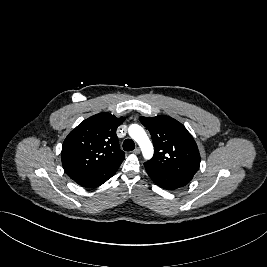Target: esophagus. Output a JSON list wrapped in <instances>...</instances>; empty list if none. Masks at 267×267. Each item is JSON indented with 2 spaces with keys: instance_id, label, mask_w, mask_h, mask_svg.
Returning a JSON list of instances; mask_svg holds the SVG:
<instances>
[{
  "instance_id": "34e87169",
  "label": "esophagus",
  "mask_w": 267,
  "mask_h": 267,
  "mask_svg": "<svg viewBox=\"0 0 267 267\" xmlns=\"http://www.w3.org/2000/svg\"><path fill=\"white\" fill-rule=\"evenodd\" d=\"M133 153L134 154H139L140 153V149L137 147V148H135L134 150H133Z\"/></svg>"
}]
</instances>
